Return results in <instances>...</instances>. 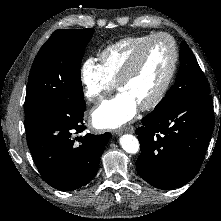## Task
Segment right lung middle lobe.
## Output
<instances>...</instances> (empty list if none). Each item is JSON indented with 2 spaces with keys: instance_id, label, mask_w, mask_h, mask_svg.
Masks as SVG:
<instances>
[{
  "instance_id": "dd1d6c3e",
  "label": "right lung middle lobe",
  "mask_w": 221,
  "mask_h": 221,
  "mask_svg": "<svg viewBox=\"0 0 221 221\" xmlns=\"http://www.w3.org/2000/svg\"><path fill=\"white\" fill-rule=\"evenodd\" d=\"M93 28L56 30L33 62L25 98V127L64 102L85 104L80 77L84 49Z\"/></svg>"
}]
</instances>
